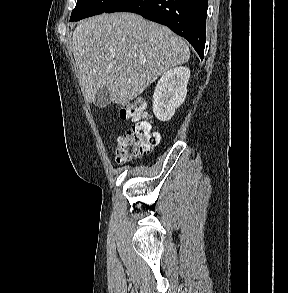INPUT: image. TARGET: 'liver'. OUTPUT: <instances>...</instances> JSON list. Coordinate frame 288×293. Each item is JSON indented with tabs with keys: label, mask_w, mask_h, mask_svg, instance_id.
<instances>
[{
	"label": "liver",
	"mask_w": 288,
	"mask_h": 293,
	"mask_svg": "<svg viewBox=\"0 0 288 293\" xmlns=\"http://www.w3.org/2000/svg\"><path fill=\"white\" fill-rule=\"evenodd\" d=\"M71 49L89 103L102 87L108 88L113 103L129 102L190 57L187 43L168 27L127 12L81 21L73 32Z\"/></svg>",
	"instance_id": "6515ba94"
}]
</instances>
